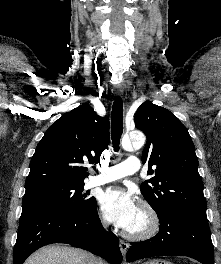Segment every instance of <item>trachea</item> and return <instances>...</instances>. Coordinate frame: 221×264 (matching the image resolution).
I'll return each instance as SVG.
<instances>
[{
  "label": "trachea",
  "instance_id": "obj_1",
  "mask_svg": "<svg viewBox=\"0 0 221 264\" xmlns=\"http://www.w3.org/2000/svg\"><path fill=\"white\" fill-rule=\"evenodd\" d=\"M123 133V102L117 97L111 112V139L114 151H119L120 138Z\"/></svg>",
  "mask_w": 221,
  "mask_h": 264
}]
</instances>
